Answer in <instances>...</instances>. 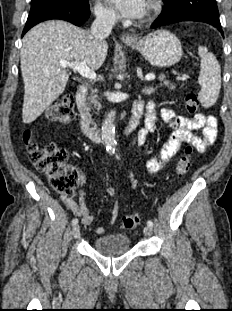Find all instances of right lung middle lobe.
<instances>
[{"label": "right lung middle lobe", "mask_w": 232, "mask_h": 311, "mask_svg": "<svg viewBox=\"0 0 232 311\" xmlns=\"http://www.w3.org/2000/svg\"><path fill=\"white\" fill-rule=\"evenodd\" d=\"M45 3H62L73 5L83 10H89L88 0H32L31 6H36Z\"/></svg>", "instance_id": "obj_1"}]
</instances>
